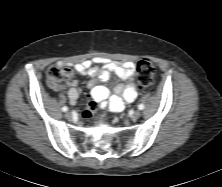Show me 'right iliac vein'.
<instances>
[{
	"label": "right iliac vein",
	"instance_id": "obj_1",
	"mask_svg": "<svg viewBox=\"0 0 222 187\" xmlns=\"http://www.w3.org/2000/svg\"><path fill=\"white\" fill-rule=\"evenodd\" d=\"M71 113L69 112V111H67L66 113H65V117L67 118V119H70L71 118Z\"/></svg>",
	"mask_w": 222,
	"mask_h": 187
}]
</instances>
